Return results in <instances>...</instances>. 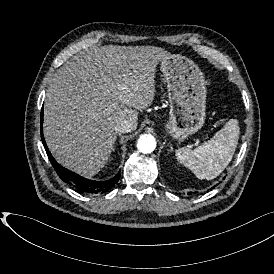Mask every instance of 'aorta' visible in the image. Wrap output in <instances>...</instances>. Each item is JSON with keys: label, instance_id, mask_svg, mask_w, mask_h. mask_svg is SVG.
I'll list each match as a JSON object with an SVG mask.
<instances>
[{"label": "aorta", "instance_id": "aorta-1", "mask_svg": "<svg viewBox=\"0 0 274 274\" xmlns=\"http://www.w3.org/2000/svg\"><path fill=\"white\" fill-rule=\"evenodd\" d=\"M137 148L144 154L151 153L156 148V140L152 135L144 134L138 139Z\"/></svg>", "mask_w": 274, "mask_h": 274}]
</instances>
